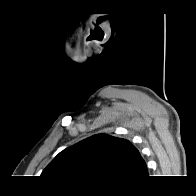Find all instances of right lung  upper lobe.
I'll use <instances>...</instances> for the list:
<instances>
[{"instance_id": "1", "label": "right lung upper lobe", "mask_w": 196, "mask_h": 196, "mask_svg": "<svg viewBox=\"0 0 196 196\" xmlns=\"http://www.w3.org/2000/svg\"><path fill=\"white\" fill-rule=\"evenodd\" d=\"M148 175L139 151L126 139L108 134L86 138L60 152L41 176L56 183L113 187Z\"/></svg>"}]
</instances>
